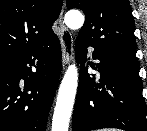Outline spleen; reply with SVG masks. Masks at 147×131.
Here are the masks:
<instances>
[{
    "mask_svg": "<svg viewBox=\"0 0 147 131\" xmlns=\"http://www.w3.org/2000/svg\"><path fill=\"white\" fill-rule=\"evenodd\" d=\"M104 131H118V130H114V129L112 130V129H109V130H104Z\"/></svg>",
    "mask_w": 147,
    "mask_h": 131,
    "instance_id": "1",
    "label": "spleen"
}]
</instances>
